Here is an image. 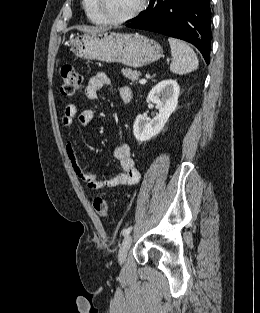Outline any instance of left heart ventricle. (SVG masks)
Here are the masks:
<instances>
[{
  "instance_id": "obj_1",
  "label": "left heart ventricle",
  "mask_w": 260,
  "mask_h": 313,
  "mask_svg": "<svg viewBox=\"0 0 260 313\" xmlns=\"http://www.w3.org/2000/svg\"><path fill=\"white\" fill-rule=\"evenodd\" d=\"M138 1L139 0H103V8L108 16L120 18L133 11Z\"/></svg>"
}]
</instances>
